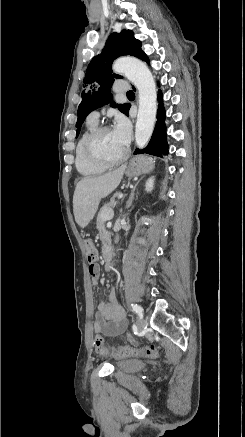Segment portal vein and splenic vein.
<instances>
[{"label": "portal vein and splenic vein", "mask_w": 245, "mask_h": 437, "mask_svg": "<svg viewBox=\"0 0 245 437\" xmlns=\"http://www.w3.org/2000/svg\"><path fill=\"white\" fill-rule=\"evenodd\" d=\"M123 197L122 194H120L119 198L121 199ZM114 213L110 214L109 216L106 217V220H109L113 217Z\"/></svg>", "instance_id": "portal-vein-and-splenic-vein-1"}]
</instances>
